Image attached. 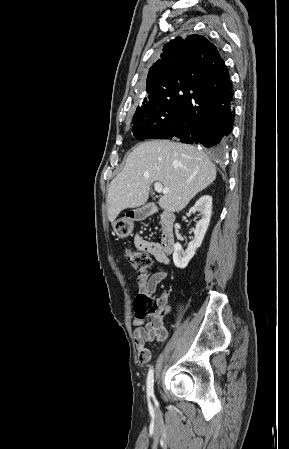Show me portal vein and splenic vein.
<instances>
[{"instance_id":"1","label":"portal vein and splenic vein","mask_w":289,"mask_h":449,"mask_svg":"<svg viewBox=\"0 0 289 449\" xmlns=\"http://www.w3.org/2000/svg\"><path fill=\"white\" fill-rule=\"evenodd\" d=\"M154 189L158 193H163V194L169 193V189L168 188H163V185L161 183H159V182H156L154 184Z\"/></svg>"}]
</instances>
